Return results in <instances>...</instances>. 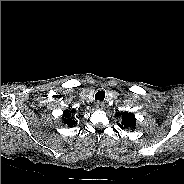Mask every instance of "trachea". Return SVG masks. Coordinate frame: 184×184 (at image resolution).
Masks as SVG:
<instances>
[{
  "label": "trachea",
  "instance_id": "trachea-1",
  "mask_svg": "<svg viewBox=\"0 0 184 184\" xmlns=\"http://www.w3.org/2000/svg\"><path fill=\"white\" fill-rule=\"evenodd\" d=\"M105 98V91L104 90H98L95 94V100H104Z\"/></svg>",
  "mask_w": 184,
  "mask_h": 184
}]
</instances>
